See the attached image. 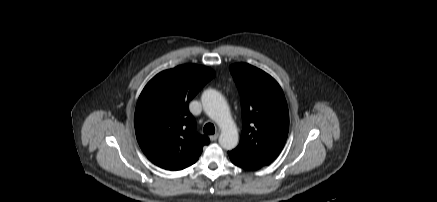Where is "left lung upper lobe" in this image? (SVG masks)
I'll use <instances>...</instances> for the list:
<instances>
[{
  "label": "left lung upper lobe",
  "instance_id": "left-lung-upper-lobe-1",
  "mask_svg": "<svg viewBox=\"0 0 437 202\" xmlns=\"http://www.w3.org/2000/svg\"><path fill=\"white\" fill-rule=\"evenodd\" d=\"M242 107L239 145L230 153L261 168L281 152L288 135L289 113L284 93L274 78L247 63L230 66Z\"/></svg>",
  "mask_w": 437,
  "mask_h": 202
}]
</instances>
